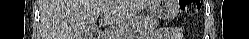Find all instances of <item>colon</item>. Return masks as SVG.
I'll return each instance as SVG.
<instances>
[{
  "label": "colon",
  "instance_id": "colon-1",
  "mask_svg": "<svg viewBox=\"0 0 249 39\" xmlns=\"http://www.w3.org/2000/svg\"><path fill=\"white\" fill-rule=\"evenodd\" d=\"M181 10L186 15L192 16L199 12L200 1L199 0H181Z\"/></svg>",
  "mask_w": 249,
  "mask_h": 39
}]
</instances>
